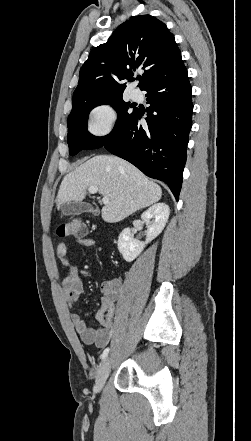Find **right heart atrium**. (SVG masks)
<instances>
[{"label": "right heart atrium", "instance_id": "1", "mask_svg": "<svg viewBox=\"0 0 251 441\" xmlns=\"http://www.w3.org/2000/svg\"><path fill=\"white\" fill-rule=\"evenodd\" d=\"M116 112L108 103L98 104L93 107L87 118V130L96 137L108 135L114 128Z\"/></svg>", "mask_w": 251, "mask_h": 441}]
</instances>
